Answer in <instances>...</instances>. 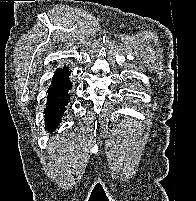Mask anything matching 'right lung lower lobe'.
Segmentation results:
<instances>
[{"mask_svg": "<svg viewBox=\"0 0 196 201\" xmlns=\"http://www.w3.org/2000/svg\"><path fill=\"white\" fill-rule=\"evenodd\" d=\"M69 75L70 71L66 67L57 69L48 90L44 117L46 128L51 132L58 127L66 106L70 101L68 91L72 87V82L69 80Z\"/></svg>", "mask_w": 196, "mask_h": 201, "instance_id": "98d812e1", "label": "right lung lower lobe"}]
</instances>
